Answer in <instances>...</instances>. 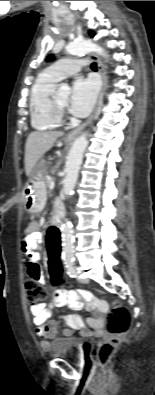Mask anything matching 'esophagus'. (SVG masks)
I'll use <instances>...</instances> for the list:
<instances>
[{
	"instance_id": "obj_1",
	"label": "esophagus",
	"mask_w": 155,
	"mask_h": 395,
	"mask_svg": "<svg viewBox=\"0 0 155 395\" xmlns=\"http://www.w3.org/2000/svg\"><path fill=\"white\" fill-rule=\"evenodd\" d=\"M90 57H91L93 60H95L96 63H97L98 72H99V74H100V76H101V80H102L101 91H100V94H99V97H98V101H97L96 107H95V109H94L92 115H91L82 125H80V126L77 127L76 129L70 131V132L66 135V140H73V139H75L76 136H77V135H78V134H79V133H80V132H81V131H82L92 120H93V118H94V116L96 115L97 110H98V108H99L100 102H101V100H102V96H103V94H104V92H105V90H106V86H107V77H106V74H105L104 66H103L102 62L100 61V59H99L96 55L90 54Z\"/></svg>"
}]
</instances>
